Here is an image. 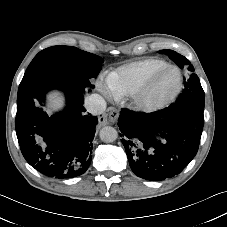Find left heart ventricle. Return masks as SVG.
Listing matches in <instances>:
<instances>
[{
  "label": "left heart ventricle",
  "instance_id": "b2bd125f",
  "mask_svg": "<svg viewBox=\"0 0 227 227\" xmlns=\"http://www.w3.org/2000/svg\"><path fill=\"white\" fill-rule=\"evenodd\" d=\"M177 79L178 74L175 70H170L164 73L157 82L154 95L156 97H161L168 93L175 86Z\"/></svg>",
  "mask_w": 227,
  "mask_h": 227
}]
</instances>
